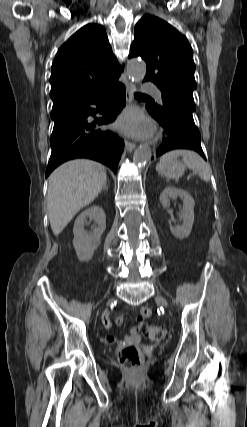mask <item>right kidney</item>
Returning <instances> with one entry per match:
<instances>
[{"label": "right kidney", "mask_w": 247, "mask_h": 427, "mask_svg": "<svg viewBox=\"0 0 247 427\" xmlns=\"http://www.w3.org/2000/svg\"><path fill=\"white\" fill-rule=\"evenodd\" d=\"M86 218L93 219L95 226L92 233L84 230ZM106 228V215L100 206H92L84 210L75 220L73 246L80 261H89L98 248L101 235Z\"/></svg>", "instance_id": "ca27d5eb"}]
</instances>
